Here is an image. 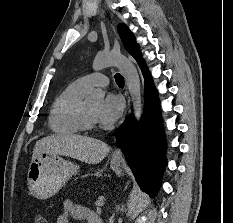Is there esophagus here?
<instances>
[{"mask_svg": "<svg viewBox=\"0 0 233 223\" xmlns=\"http://www.w3.org/2000/svg\"><path fill=\"white\" fill-rule=\"evenodd\" d=\"M122 157V152L119 148H116L115 151L113 152V158H121Z\"/></svg>", "mask_w": 233, "mask_h": 223, "instance_id": "34e87169", "label": "esophagus"}]
</instances>
